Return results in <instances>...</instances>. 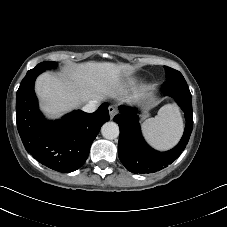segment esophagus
<instances>
[{
	"label": "esophagus",
	"instance_id": "obj_1",
	"mask_svg": "<svg viewBox=\"0 0 227 227\" xmlns=\"http://www.w3.org/2000/svg\"><path fill=\"white\" fill-rule=\"evenodd\" d=\"M108 110H109L110 119H113L114 116L118 113V109L115 106H109Z\"/></svg>",
	"mask_w": 227,
	"mask_h": 227
}]
</instances>
